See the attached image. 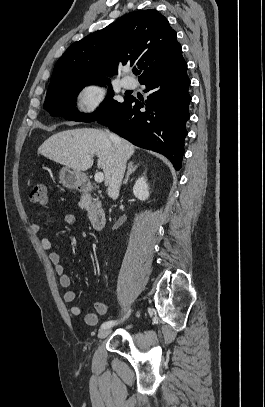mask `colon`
Listing matches in <instances>:
<instances>
[{"label": "colon", "mask_w": 265, "mask_h": 407, "mask_svg": "<svg viewBox=\"0 0 265 407\" xmlns=\"http://www.w3.org/2000/svg\"><path fill=\"white\" fill-rule=\"evenodd\" d=\"M30 199L34 203L46 204L48 200L46 183L36 182L30 192Z\"/></svg>", "instance_id": "5ec220e1"}]
</instances>
